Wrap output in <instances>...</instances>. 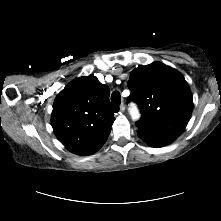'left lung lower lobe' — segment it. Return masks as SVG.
<instances>
[{
  "instance_id": "0a47b994",
  "label": "left lung lower lobe",
  "mask_w": 221,
  "mask_h": 221,
  "mask_svg": "<svg viewBox=\"0 0 221 221\" xmlns=\"http://www.w3.org/2000/svg\"><path fill=\"white\" fill-rule=\"evenodd\" d=\"M137 133L143 141L152 147H162L170 144L175 140L174 138L155 135L140 129H138Z\"/></svg>"
}]
</instances>
